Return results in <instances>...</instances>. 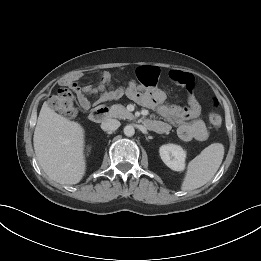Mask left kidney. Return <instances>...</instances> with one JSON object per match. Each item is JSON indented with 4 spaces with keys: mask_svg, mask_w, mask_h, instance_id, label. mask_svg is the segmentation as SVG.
<instances>
[{
    "mask_svg": "<svg viewBox=\"0 0 261 261\" xmlns=\"http://www.w3.org/2000/svg\"><path fill=\"white\" fill-rule=\"evenodd\" d=\"M162 161L174 171L185 169L186 152L176 144L162 145L159 149Z\"/></svg>",
    "mask_w": 261,
    "mask_h": 261,
    "instance_id": "5707ae66",
    "label": "left kidney"
}]
</instances>
